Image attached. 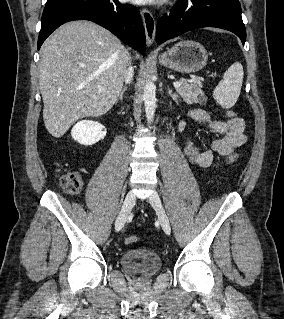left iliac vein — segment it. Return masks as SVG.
<instances>
[{"label": "left iliac vein", "mask_w": 284, "mask_h": 319, "mask_svg": "<svg viewBox=\"0 0 284 319\" xmlns=\"http://www.w3.org/2000/svg\"><path fill=\"white\" fill-rule=\"evenodd\" d=\"M149 203L151 204V206L155 209L158 218L160 220L162 229L164 230V232L167 235H170L171 233V226H170V222L169 219L167 217V214L165 212V209L163 207L162 201L158 195L157 192H153L149 198H148Z\"/></svg>", "instance_id": "4c4485c4"}]
</instances>
